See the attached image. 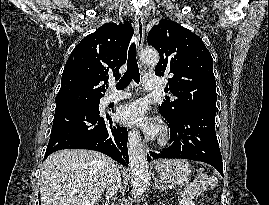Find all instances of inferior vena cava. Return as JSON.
Here are the masks:
<instances>
[{
	"label": "inferior vena cava",
	"mask_w": 269,
	"mask_h": 205,
	"mask_svg": "<svg viewBox=\"0 0 269 205\" xmlns=\"http://www.w3.org/2000/svg\"><path fill=\"white\" fill-rule=\"evenodd\" d=\"M121 183V174L117 166L113 163L109 169L107 182H106V200L109 202V198L113 197L118 192V188Z\"/></svg>",
	"instance_id": "obj_1"
}]
</instances>
